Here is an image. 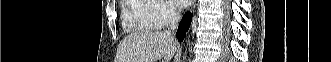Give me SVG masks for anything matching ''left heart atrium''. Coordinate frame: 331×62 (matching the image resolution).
<instances>
[{"instance_id": "39dd6f15", "label": "left heart atrium", "mask_w": 331, "mask_h": 62, "mask_svg": "<svg viewBox=\"0 0 331 62\" xmlns=\"http://www.w3.org/2000/svg\"><path fill=\"white\" fill-rule=\"evenodd\" d=\"M171 2L177 7V8H183L187 6L189 3V0H171Z\"/></svg>"}]
</instances>
